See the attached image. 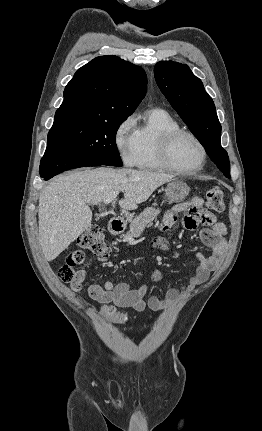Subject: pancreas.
I'll list each match as a JSON object with an SVG mask.
<instances>
[{"mask_svg": "<svg viewBox=\"0 0 262 431\" xmlns=\"http://www.w3.org/2000/svg\"><path fill=\"white\" fill-rule=\"evenodd\" d=\"M160 213L159 209L153 207L146 208L135 219L130 221V230L124 235L125 239L139 237L145 227L152 222Z\"/></svg>", "mask_w": 262, "mask_h": 431, "instance_id": "obj_1", "label": "pancreas"}]
</instances>
